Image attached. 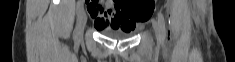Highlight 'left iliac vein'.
<instances>
[{"label":"left iliac vein","instance_id":"left-iliac-vein-1","mask_svg":"<svg viewBox=\"0 0 235 62\" xmlns=\"http://www.w3.org/2000/svg\"><path fill=\"white\" fill-rule=\"evenodd\" d=\"M153 28H154L158 43H162L164 38L160 31L159 25L156 22H153Z\"/></svg>","mask_w":235,"mask_h":62}]
</instances>
